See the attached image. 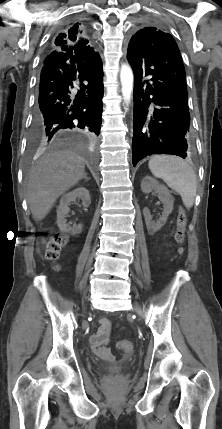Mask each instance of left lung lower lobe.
Here are the masks:
<instances>
[{
  "label": "left lung lower lobe",
  "mask_w": 222,
  "mask_h": 429,
  "mask_svg": "<svg viewBox=\"0 0 222 429\" xmlns=\"http://www.w3.org/2000/svg\"><path fill=\"white\" fill-rule=\"evenodd\" d=\"M134 71L133 166L152 154L185 158L190 151V114L185 69L178 46L166 33L158 41L128 47Z\"/></svg>",
  "instance_id": "0a47b994"
}]
</instances>
